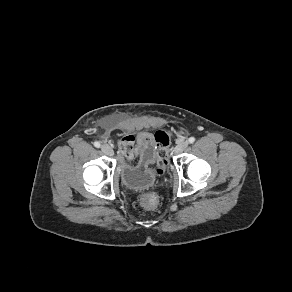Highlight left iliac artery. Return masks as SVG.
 I'll return each mask as SVG.
<instances>
[{
    "label": "left iliac artery",
    "mask_w": 292,
    "mask_h": 292,
    "mask_svg": "<svg viewBox=\"0 0 292 292\" xmlns=\"http://www.w3.org/2000/svg\"><path fill=\"white\" fill-rule=\"evenodd\" d=\"M188 142L191 144V143H194L195 142V138L194 137H190L189 139H188Z\"/></svg>",
    "instance_id": "1"
}]
</instances>
